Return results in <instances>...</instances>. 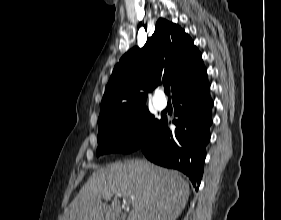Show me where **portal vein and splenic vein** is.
Returning <instances> with one entry per match:
<instances>
[{
	"instance_id": "18ae733b",
	"label": "portal vein and splenic vein",
	"mask_w": 281,
	"mask_h": 220,
	"mask_svg": "<svg viewBox=\"0 0 281 220\" xmlns=\"http://www.w3.org/2000/svg\"><path fill=\"white\" fill-rule=\"evenodd\" d=\"M112 194H115V195H117V196H121L120 193H118V192H116V191H113ZM108 198H110V193L106 196L105 199H108ZM127 199H129V200H131V201H134V200H135L134 196H129Z\"/></svg>"
}]
</instances>
